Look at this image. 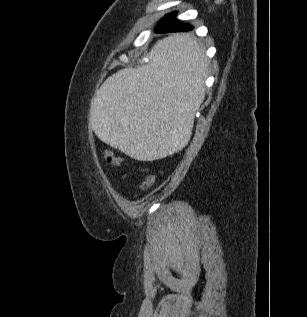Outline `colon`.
Here are the masks:
<instances>
[{"label":"colon","instance_id":"obj_1","mask_svg":"<svg viewBox=\"0 0 307 317\" xmlns=\"http://www.w3.org/2000/svg\"><path fill=\"white\" fill-rule=\"evenodd\" d=\"M102 159L105 163L112 166H119L122 164L123 159L120 156L115 155L110 150H105L102 154ZM156 181V176L154 174H149L139 185L140 190L150 189Z\"/></svg>","mask_w":307,"mask_h":317}]
</instances>
